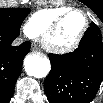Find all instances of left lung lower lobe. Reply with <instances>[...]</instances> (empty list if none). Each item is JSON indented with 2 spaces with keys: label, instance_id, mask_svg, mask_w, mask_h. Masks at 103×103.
Returning <instances> with one entry per match:
<instances>
[{
  "label": "left lung lower lobe",
  "instance_id": "0a47b994",
  "mask_svg": "<svg viewBox=\"0 0 103 103\" xmlns=\"http://www.w3.org/2000/svg\"><path fill=\"white\" fill-rule=\"evenodd\" d=\"M49 58L45 92L50 103H90L95 98L103 79V38L97 25L91 23L74 52Z\"/></svg>",
  "mask_w": 103,
  "mask_h": 103
}]
</instances>
